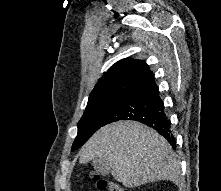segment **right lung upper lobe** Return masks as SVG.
<instances>
[{"mask_svg":"<svg viewBox=\"0 0 221 191\" xmlns=\"http://www.w3.org/2000/svg\"><path fill=\"white\" fill-rule=\"evenodd\" d=\"M151 77L153 73L144 61L122 59L99 79L89 96L87 106L122 98Z\"/></svg>","mask_w":221,"mask_h":191,"instance_id":"obj_1","label":"right lung upper lobe"}]
</instances>
